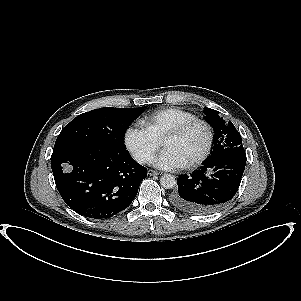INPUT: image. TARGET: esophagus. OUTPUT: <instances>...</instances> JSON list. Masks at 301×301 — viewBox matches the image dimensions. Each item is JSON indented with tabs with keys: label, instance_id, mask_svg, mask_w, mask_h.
I'll return each mask as SVG.
<instances>
[{
	"label": "esophagus",
	"instance_id": "34e87169",
	"mask_svg": "<svg viewBox=\"0 0 301 301\" xmlns=\"http://www.w3.org/2000/svg\"><path fill=\"white\" fill-rule=\"evenodd\" d=\"M160 173L154 170H148V175L150 176H155V175H159Z\"/></svg>",
	"mask_w": 301,
	"mask_h": 301
}]
</instances>
